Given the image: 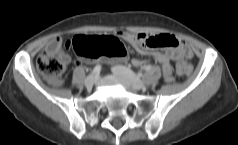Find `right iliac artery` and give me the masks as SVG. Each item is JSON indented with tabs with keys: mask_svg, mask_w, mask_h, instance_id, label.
Segmentation results:
<instances>
[{
	"mask_svg": "<svg viewBox=\"0 0 238 145\" xmlns=\"http://www.w3.org/2000/svg\"><path fill=\"white\" fill-rule=\"evenodd\" d=\"M100 70H101V66L100 65H96L94 67L93 71L91 72V75L99 73Z\"/></svg>",
	"mask_w": 238,
	"mask_h": 145,
	"instance_id": "obj_1",
	"label": "right iliac artery"
}]
</instances>
